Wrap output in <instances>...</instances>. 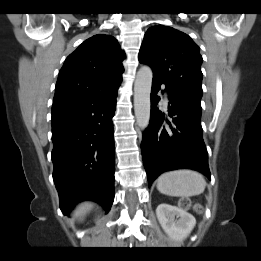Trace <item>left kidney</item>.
Segmentation results:
<instances>
[{
  "mask_svg": "<svg viewBox=\"0 0 261 261\" xmlns=\"http://www.w3.org/2000/svg\"><path fill=\"white\" fill-rule=\"evenodd\" d=\"M156 214L164 231L175 241L185 239L196 224L194 216L186 210L166 203L157 207Z\"/></svg>",
  "mask_w": 261,
  "mask_h": 261,
  "instance_id": "left-kidney-1",
  "label": "left kidney"
}]
</instances>
